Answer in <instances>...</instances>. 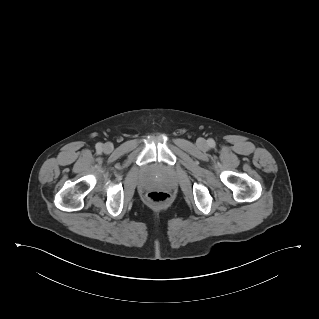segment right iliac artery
<instances>
[{
  "label": "right iliac artery",
  "mask_w": 319,
  "mask_h": 319,
  "mask_svg": "<svg viewBox=\"0 0 319 319\" xmlns=\"http://www.w3.org/2000/svg\"><path fill=\"white\" fill-rule=\"evenodd\" d=\"M96 149L100 151L102 149V144L101 143H97L96 144Z\"/></svg>",
  "instance_id": "82829eb1"
}]
</instances>
